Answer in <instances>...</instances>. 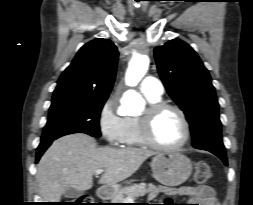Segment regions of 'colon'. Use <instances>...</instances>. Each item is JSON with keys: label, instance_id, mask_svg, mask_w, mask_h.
<instances>
[{"label": "colon", "instance_id": "5ec220e1", "mask_svg": "<svg viewBox=\"0 0 253 205\" xmlns=\"http://www.w3.org/2000/svg\"><path fill=\"white\" fill-rule=\"evenodd\" d=\"M213 177V172L208 163L199 161L195 167V180L199 184L206 183ZM72 205H91V198L88 195L78 197L72 202Z\"/></svg>", "mask_w": 253, "mask_h": 205}]
</instances>
